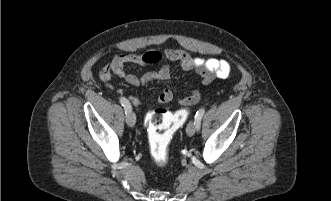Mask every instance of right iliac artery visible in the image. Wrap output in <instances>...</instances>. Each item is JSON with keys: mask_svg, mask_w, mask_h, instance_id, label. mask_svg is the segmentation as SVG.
<instances>
[{"mask_svg": "<svg viewBox=\"0 0 331 201\" xmlns=\"http://www.w3.org/2000/svg\"><path fill=\"white\" fill-rule=\"evenodd\" d=\"M120 103L124 107L125 113H127L128 111H131V109H132L131 104L125 97L120 98Z\"/></svg>", "mask_w": 331, "mask_h": 201, "instance_id": "82829eb1", "label": "right iliac artery"}]
</instances>
